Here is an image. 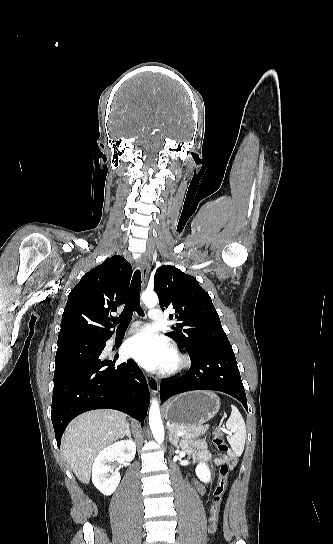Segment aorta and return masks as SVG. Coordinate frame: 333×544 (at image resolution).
I'll return each instance as SVG.
<instances>
[{
	"instance_id": "1",
	"label": "aorta",
	"mask_w": 333,
	"mask_h": 544,
	"mask_svg": "<svg viewBox=\"0 0 333 544\" xmlns=\"http://www.w3.org/2000/svg\"><path fill=\"white\" fill-rule=\"evenodd\" d=\"M141 298L144 304L149 308L155 307L158 303V296L154 291H144ZM149 425L155 440L158 443H162L164 441V428L157 399H152L151 401L149 410Z\"/></svg>"
}]
</instances>
